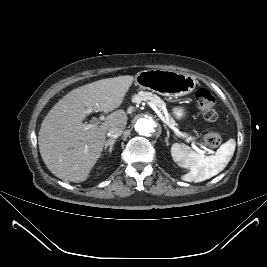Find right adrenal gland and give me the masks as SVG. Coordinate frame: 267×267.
Wrapping results in <instances>:
<instances>
[{
  "label": "right adrenal gland",
  "mask_w": 267,
  "mask_h": 267,
  "mask_svg": "<svg viewBox=\"0 0 267 267\" xmlns=\"http://www.w3.org/2000/svg\"><path fill=\"white\" fill-rule=\"evenodd\" d=\"M116 142V138H112L110 140H107L104 147V152H106L107 148L109 147V155L112 153V149L114 146V143Z\"/></svg>",
  "instance_id": "2a0ac1e0"
}]
</instances>
